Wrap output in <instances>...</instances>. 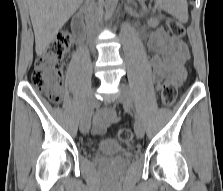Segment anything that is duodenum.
Returning a JSON list of instances; mask_svg holds the SVG:
<instances>
[{
  "instance_id": "duodenum-1",
  "label": "duodenum",
  "mask_w": 223,
  "mask_h": 191,
  "mask_svg": "<svg viewBox=\"0 0 223 191\" xmlns=\"http://www.w3.org/2000/svg\"><path fill=\"white\" fill-rule=\"evenodd\" d=\"M72 31L77 37H79L82 35L83 28L81 27L79 22H75L73 23Z\"/></svg>"
}]
</instances>
